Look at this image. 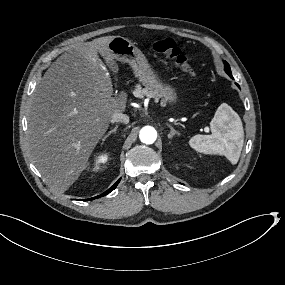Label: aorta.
<instances>
[{
    "label": "aorta",
    "instance_id": "obj_1",
    "mask_svg": "<svg viewBox=\"0 0 285 285\" xmlns=\"http://www.w3.org/2000/svg\"><path fill=\"white\" fill-rule=\"evenodd\" d=\"M157 139V132L153 127L146 126L140 131V140L146 145L153 144Z\"/></svg>",
    "mask_w": 285,
    "mask_h": 285
}]
</instances>
